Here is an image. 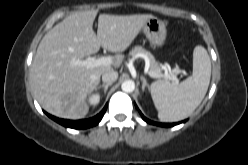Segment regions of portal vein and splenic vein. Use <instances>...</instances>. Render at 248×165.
<instances>
[{
  "label": "portal vein and splenic vein",
  "instance_id": "18ae733b",
  "mask_svg": "<svg viewBox=\"0 0 248 165\" xmlns=\"http://www.w3.org/2000/svg\"><path fill=\"white\" fill-rule=\"evenodd\" d=\"M112 63H113V58L110 56H102V57H99L97 59L89 58V59H85V60H74L72 62V64L74 66H81V67H86V68H95L98 66H108V65H111ZM146 72L152 78L164 77L166 79L172 80L176 84L179 82L178 78L175 75L168 73V72H165L164 74L156 73V72H152V71H148V70Z\"/></svg>",
  "mask_w": 248,
  "mask_h": 165
}]
</instances>
